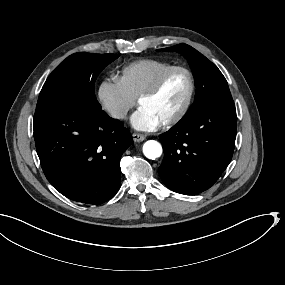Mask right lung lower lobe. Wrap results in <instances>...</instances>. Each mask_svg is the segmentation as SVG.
Masks as SVG:
<instances>
[{"label":"right lung lower lobe","instance_id":"1","mask_svg":"<svg viewBox=\"0 0 285 285\" xmlns=\"http://www.w3.org/2000/svg\"><path fill=\"white\" fill-rule=\"evenodd\" d=\"M43 172L65 197L99 205L120 188V159L133 144L124 125L104 111L60 106L34 115Z\"/></svg>","mask_w":285,"mask_h":285}]
</instances>
